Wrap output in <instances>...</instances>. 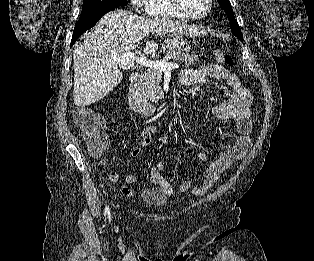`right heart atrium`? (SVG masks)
Returning <instances> with one entry per match:
<instances>
[{
	"mask_svg": "<svg viewBox=\"0 0 314 261\" xmlns=\"http://www.w3.org/2000/svg\"><path fill=\"white\" fill-rule=\"evenodd\" d=\"M130 2L136 10L148 12L151 0H130Z\"/></svg>",
	"mask_w": 314,
	"mask_h": 261,
	"instance_id": "obj_1",
	"label": "right heart atrium"
}]
</instances>
